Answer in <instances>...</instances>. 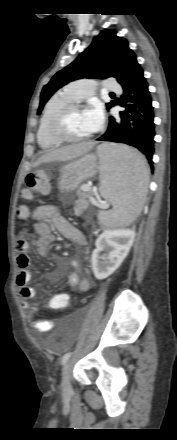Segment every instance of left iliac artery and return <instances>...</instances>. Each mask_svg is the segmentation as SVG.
Wrapping results in <instances>:
<instances>
[{
	"instance_id": "44dca946",
	"label": "left iliac artery",
	"mask_w": 177,
	"mask_h": 440,
	"mask_svg": "<svg viewBox=\"0 0 177 440\" xmlns=\"http://www.w3.org/2000/svg\"><path fill=\"white\" fill-rule=\"evenodd\" d=\"M71 352H68V353H66L63 357H62V364H65L67 361H68V359L70 358V356H71Z\"/></svg>"
}]
</instances>
